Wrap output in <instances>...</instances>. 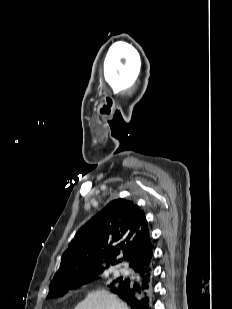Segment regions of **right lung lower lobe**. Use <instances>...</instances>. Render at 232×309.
Listing matches in <instances>:
<instances>
[{"label": "right lung lower lobe", "instance_id": "right-lung-lower-lobe-1", "mask_svg": "<svg viewBox=\"0 0 232 309\" xmlns=\"http://www.w3.org/2000/svg\"><path fill=\"white\" fill-rule=\"evenodd\" d=\"M153 256L130 265L134 273L124 277L111 291L127 302L131 309H152Z\"/></svg>", "mask_w": 232, "mask_h": 309}]
</instances>
